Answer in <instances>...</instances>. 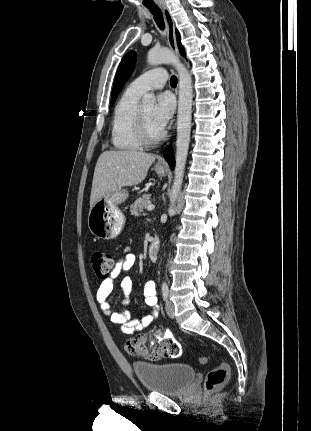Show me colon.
<instances>
[{"instance_id":"1","label":"colon","mask_w":311,"mask_h":431,"mask_svg":"<svg viewBox=\"0 0 311 431\" xmlns=\"http://www.w3.org/2000/svg\"><path fill=\"white\" fill-rule=\"evenodd\" d=\"M113 255L105 250H96L91 254L90 263L95 274L106 279L114 266ZM125 350L128 354L149 360L160 358L175 359L181 355L180 344L171 336L160 339H149L147 336H138L126 342ZM201 364L207 363L206 357H200ZM229 376V365L221 362L210 370L205 380V390L212 392L224 386Z\"/></svg>"}]
</instances>
